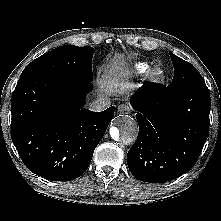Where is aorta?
Listing matches in <instances>:
<instances>
[{
	"mask_svg": "<svg viewBox=\"0 0 221 221\" xmlns=\"http://www.w3.org/2000/svg\"><path fill=\"white\" fill-rule=\"evenodd\" d=\"M110 135L116 142L131 144L137 138L138 124L131 116H119L110 128Z\"/></svg>",
	"mask_w": 221,
	"mask_h": 221,
	"instance_id": "obj_1",
	"label": "aorta"
}]
</instances>
